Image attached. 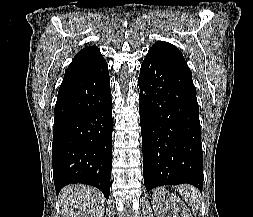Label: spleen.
I'll return each mask as SVG.
<instances>
[{"instance_id": "obj_1", "label": "spleen", "mask_w": 253, "mask_h": 217, "mask_svg": "<svg viewBox=\"0 0 253 217\" xmlns=\"http://www.w3.org/2000/svg\"><path fill=\"white\" fill-rule=\"evenodd\" d=\"M179 193L184 196L185 200L192 206L194 212L199 210L200 201L198 199V191L195 187L189 185L180 186Z\"/></svg>"}]
</instances>
